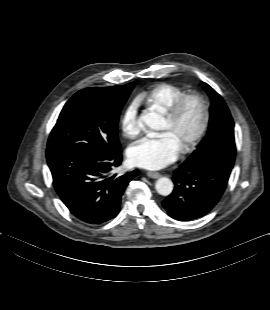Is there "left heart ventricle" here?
Masks as SVG:
<instances>
[{
  "instance_id": "obj_1",
  "label": "left heart ventricle",
  "mask_w": 270,
  "mask_h": 310,
  "mask_svg": "<svg viewBox=\"0 0 270 310\" xmlns=\"http://www.w3.org/2000/svg\"><path fill=\"white\" fill-rule=\"evenodd\" d=\"M201 121V110L197 103H187L178 120L171 124L165 119L161 132L169 133L182 147L197 131Z\"/></svg>"
}]
</instances>
